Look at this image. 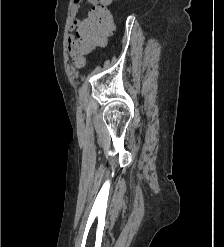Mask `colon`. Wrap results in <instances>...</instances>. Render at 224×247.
Here are the masks:
<instances>
[{"label": "colon", "mask_w": 224, "mask_h": 247, "mask_svg": "<svg viewBox=\"0 0 224 247\" xmlns=\"http://www.w3.org/2000/svg\"><path fill=\"white\" fill-rule=\"evenodd\" d=\"M90 10L88 17L82 24L78 39L84 51L99 45L113 31V15L107 7L108 0Z\"/></svg>", "instance_id": "5ec220e1"}]
</instances>
